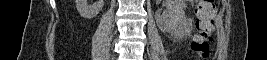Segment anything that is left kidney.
I'll use <instances>...</instances> for the list:
<instances>
[{
    "label": "left kidney",
    "mask_w": 267,
    "mask_h": 60,
    "mask_svg": "<svg viewBox=\"0 0 267 60\" xmlns=\"http://www.w3.org/2000/svg\"><path fill=\"white\" fill-rule=\"evenodd\" d=\"M166 10L155 13L156 23L163 32L173 31L185 17L184 5L178 0H166Z\"/></svg>",
    "instance_id": "obj_1"
}]
</instances>
